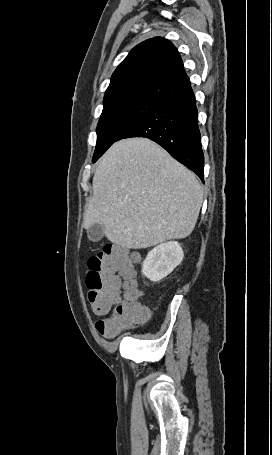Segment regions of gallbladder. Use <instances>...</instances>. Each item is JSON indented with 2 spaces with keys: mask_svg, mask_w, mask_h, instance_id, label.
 <instances>
[{
  "mask_svg": "<svg viewBox=\"0 0 272 455\" xmlns=\"http://www.w3.org/2000/svg\"><path fill=\"white\" fill-rule=\"evenodd\" d=\"M87 236L89 240L97 242L104 236V227L99 224H93L87 228Z\"/></svg>",
  "mask_w": 272,
  "mask_h": 455,
  "instance_id": "obj_1",
  "label": "gallbladder"
}]
</instances>
